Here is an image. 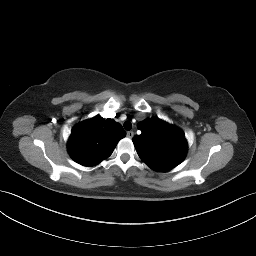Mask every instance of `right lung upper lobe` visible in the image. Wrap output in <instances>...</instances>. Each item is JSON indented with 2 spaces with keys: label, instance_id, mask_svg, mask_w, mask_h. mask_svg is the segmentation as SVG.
<instances>
[{
  "label": "right lung upper lobe",
  "instance_id": "obj_1",
  "mask_svg": "<svg viewBox=\"0 0 256 256\" xmlns=\"http://www.w3.org/2000/svg\"><path fill=\"white\" fill-rule=\"evenodd\" d=\"M126 136L121 124L97 115L76 125L68 141L71 158L83 166H94L108 158Z\"/></svg>",
  "mask_w": 256,
  "mask_h": 256
}]
</instances>
